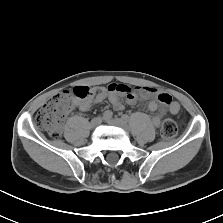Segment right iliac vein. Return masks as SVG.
Listing matches in <instances>:
<instances>
[{"label":"right iliac vein","instance_id":"1","mask_svg":"<svg viewBox=\"0 0 223 223\" xmlns=\"http://www.w3.org/2000/svg\"><path fill=\"white\" fill-rule=\"evenodd\" d=\"M101 122H102L101 117H95L91 120L90 126H91V128H95V127L99 126L101 124Z\"/></svg>","mask_w":223,"mask_h":223}]
</instances>
